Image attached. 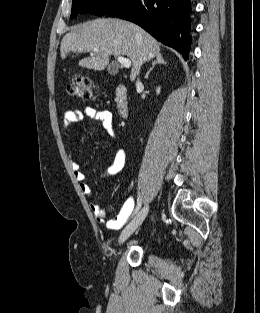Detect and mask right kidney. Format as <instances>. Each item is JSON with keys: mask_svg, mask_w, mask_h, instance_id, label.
<instances>
[{"mask_svg": "<svg viewBox=\"0 0 260 313\" xmlns=\"http://www.w3.org/2000/svg\"><path fill=\"white\" fill-rule=\"evenodd\" d=\"M156 91H157V94H159L160 93V88L158 87Z\"/></svg>", "mask_w": 260, "mask_h": 313, "instance_id": "ca27d5eb", "label": "right kidney"}]
</instances>
